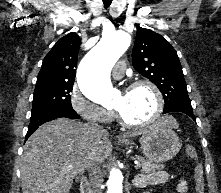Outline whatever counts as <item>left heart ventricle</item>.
<instances>
[{"instance_id": "1", "label": "left heart ventricle", "mask_w": 221, "mask_h": 193, "mask_svg": "<svg viewBox=\"0 0 221 193\" xmlns=\"http://www.w3.org/2000/svg\"><path fill=\"white\" fill-rule=\"evenodd\" d=\"M113 107L119 109L128 121L143 122L154 113L156 100L151 89L139 87L120 93Z\"/></svg>"}]
</instances>
